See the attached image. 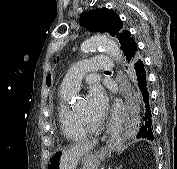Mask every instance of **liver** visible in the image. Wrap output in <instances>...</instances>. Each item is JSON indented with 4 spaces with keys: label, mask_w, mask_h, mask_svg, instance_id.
<instances>
[{
    "label": "liver",
    "mask_w": 177,
    "mask_h": 169,
    "mask_svg": "<svg viewBox=\"0 0 177 169\" xmlns=\"http://www.w3.org/2000/svg\"><path fill=\"white\" fill-rule=\"evenodd\" d=\"M96 144L97 141L93 140L63 151L59 161V169H76L81 158L86 156Z\"/></svg>",
    "instance_id": "1"
}]
</instances>
